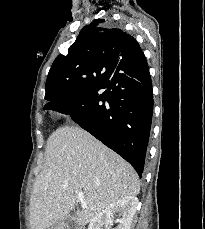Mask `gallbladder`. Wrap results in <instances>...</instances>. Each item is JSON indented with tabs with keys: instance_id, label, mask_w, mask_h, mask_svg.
I'll return each instance as SVG.
<instances>
[{
	"instance_id": "gallbladder-1",
	"label": "gallbladder",
	"mask_w": 205,
	"mask_h": 229,
	"mask_svg": "<svg viewBox=\"0 0 205 229\" xmlns=\"http://www.w3.org/2000/svg\"><path fill=\"white\" fill-rule=\"evenodd\" d=\"M75 217V212H71L66 220H59L56 224H53L48 229H58V227H63V229H75V223L73 218Z\"/></svg>"
}]
</instances>
